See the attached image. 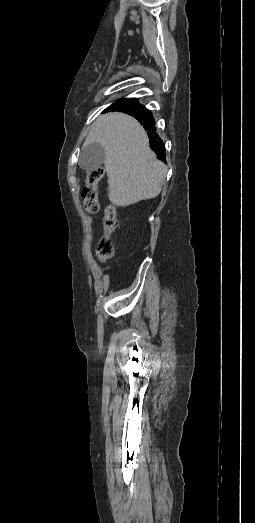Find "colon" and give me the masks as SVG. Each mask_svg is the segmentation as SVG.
Instances as JSON below:
<instances>
[{
    "label": "colon",
    "instance_id": "1",
    "mask_svg": "<svg viewBox=\"0 0 255 523\" xmlns=\"http://www.w3.org/2000/svg\"><path fill=\"white\" fill-rule=\"evenodd\" d=\"M104 176L102 167L91 168L86 174V185L82 192L83 206L87 213L95 214L99 211L98 186ZM103 235L96 246V257L101 262L113 259L115 254L112 234L119 226L117 209L107 205L103 213Z\"/></svg>",
    "mask_w": 255,
    "mask_h": 523
}]
</instances>
